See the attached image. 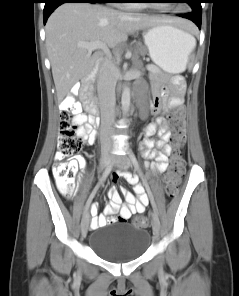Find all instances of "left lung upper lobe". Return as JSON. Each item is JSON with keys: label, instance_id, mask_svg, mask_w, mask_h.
Returning <instances> with one entry per match:
<instances>
[{"label": "left lung upper lobe", "instance_id": "obj_1", "mask_svg": "<svg viewBox=\"0 0 239 296\" xmlns=\"http://www.w3.org/2000/svg\"><path fill=\"white\" fill-rule=\"evenodd\" d=\"M181 2L188 3L191 7V11L202 14L201 0H181Z\"/></svg>", "mask_w": 239, "mask_h": 296}]
</instances>
